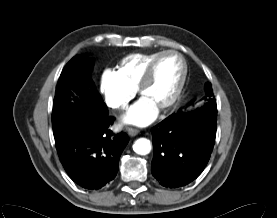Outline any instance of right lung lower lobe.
I'll return each mask as SVG.
<instances>
[{
    "label": "right lung lower lobe",
    "mask_w": 277,
    "mask_h": 218,
    "mask_svg": "<svg viewBox=\"0 0 277 218\" xmlns=\"http://www.w3.org/2000/svg\"><path fill=\"white\" fill-rule=\"evenodd\" d=\"M74 92L81 97L74 96ZM89 90L77 82H59L55 99L86 104ZM113 117L103 115L73 130L56 142L60 161L69 177L86 189H99L116 176L119 158L129 139L125 133L113 136L109 126Z\"/></svg>",
    "instance_id": "98d812e1"
}]
</instances>
